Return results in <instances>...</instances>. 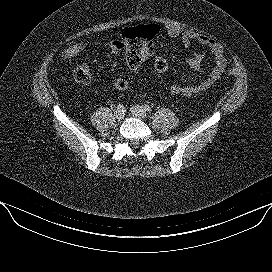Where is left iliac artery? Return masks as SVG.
I'll list each match as a JSON object with an SVG mask.
<instances>
[{"label": "left iliac artery", "instance_id": "obj_1", "mask_svg": "<svg viewBox=\"0 0 272 272\" xmlns=\"http://www.w3.org/2000/svg\"><path fill=\"white\" fill-rule=\"evenodd\" d=\"M143 108L145 109V111H147V112H151V107L149 106V105H147V104H145L144 106H143Z\"/></svg>", "mask_w": 272, "mask_h": 272}]
</instances>
